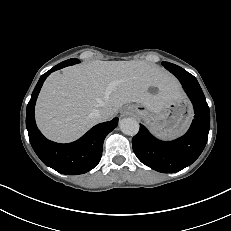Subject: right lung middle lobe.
I'll return each instance as SVG.
<instances>
[{"mask_svg": "<svg viewBox=\"0 0 231 231\" xmlns=\"http://www.w3.org/2000/svg\"><path fill=\"white\" fill-rule=\"evenodd\" d=\"M62 63H70L69 65H73V64L79 63V60L76 58H73V59L66 60Z\"/></svg>", "mask_w": 231, "mask_h": 231, "instance_id": "1", "label": "right lung middle lobe"}]
</instances>
